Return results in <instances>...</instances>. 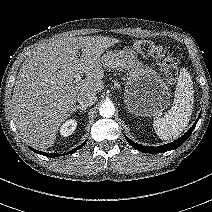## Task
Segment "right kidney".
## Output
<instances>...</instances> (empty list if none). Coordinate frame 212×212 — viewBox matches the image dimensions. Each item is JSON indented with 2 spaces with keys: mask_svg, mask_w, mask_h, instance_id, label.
Instances as JSON below:
<instances>
[{
  "mask_svg": "<svg viewBox=\"0 0 212 212\" xmlns=\"http://www.w3.org/2000/svg\"><path fill=\"white\" fill-rule=\"evenodd\" d=\"M77 126V122L74 119L67 120L60 128V134L63 137L70 136Z\"/></svg>",
  "mask_w": 212,
  "mask_h": 212,
  "instance_id": "right-kidney-1",
  "label": "right kidney"
}]
</instances>
